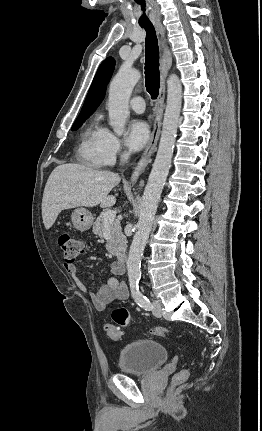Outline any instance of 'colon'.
Wrapping results in <instances>:
<instances>
[{"label": "colon", "instance_id": "colon-1", "mask_svg": "<svg viewBox=\"0 0 262 431\" xmlns=\"http://www.w3.org/2000/svg\"><path fill=\"white\" fill-rule=\"evenodd\" d=\"M59 246L63 253V258L66 264L74 263L80 256L84 254L85 245L84 242L73 235L63 234L59 237ZM112 318L116 325L106 323L104 325V330L107 336L113 340L117 341L120 336V328H127L131 325V315L129 310L124 306L116 307L112 312ZM151 333L156 336H169L173 332L169 329L162 327H155L151 329ZM189 377V372L187 370L179 371L175 376L173 381L175 383H181L187 380Z\"/></svg>", "mask_w": 262, "mask_h": 431}]
</instances>
